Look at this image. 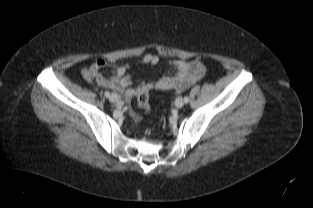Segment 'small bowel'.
Segmentation results:
<instances>
[{"label":"small bowel","mask_w":313,"mask_h":208,"mask_svg":"<svg viewBox=\"0 0 313 208\" xmlns=\"http://www.w3.org/2000/svg\"><path fill=\"white\" fill-rule=\"evenodd\" d=\"M159 60L157 55L145 54L137 60V63L157 65ZM109 65L110 62L104 59H97L93 61L91 65L83 69L82 76L88 82L96 81V83L103 88L112 89L121 93L126 99H131L141 91H147L151 88L161 90H184L202 79L206 72L204 64L200 61L195 60L188 62L184 60H174L171 62V65L176 70L174 76H164L149 83H134L132 77L127 74L130 67L129 64L115 66L112 74L106 76L102 73V70Z\"/></svg>","instance_id":"obj_1"}]
</instances>
